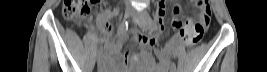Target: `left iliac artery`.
Segmentation results:
<instances>
[{
    "mask_svg": "<svg viewBox=\"0 0 267 72\" xmlns=\"http://www.w3.org/2000/svg\"><path fill=\"white\" fill-rule=\"evenodd\" d=\"M149 28L152 30V31H155L158 29V26L156 24L155 21L152 20V18H150V23H149ZM175 64L174 63H171V69H175Z\"/></svg>",
    "mask_w": 267,
    "mask_h": 72,
    "instance_id": "1",
    "label": "left iliac artery"
}]
</instances>
